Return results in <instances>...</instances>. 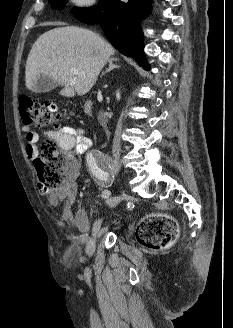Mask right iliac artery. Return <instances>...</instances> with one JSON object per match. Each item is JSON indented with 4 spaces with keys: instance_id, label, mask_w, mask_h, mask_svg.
<instances>
[{
    "instance_id": "obj_1",
    "label": "right iliac artery",
    "mask_w": 233,
    "mask_h": 328,
    "mask_svg": "<svg viewBox=\"0 0 233 328\" xmlns=\"http://www.w3.org/2000/svg\"><path fill=\"white\" fill-rule=\"evenodd\" d=\"M87 164L95 182L101 187H107L109 184V175L106 170L109 168V164L103 154L98 150L88 153ZM109 195L110 191L108 190L102 192L103 198H108Z\"/></svg>"
}]
</instances>
